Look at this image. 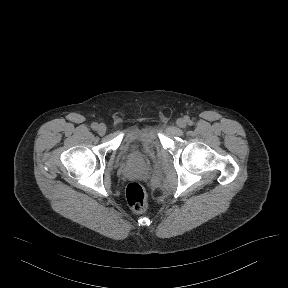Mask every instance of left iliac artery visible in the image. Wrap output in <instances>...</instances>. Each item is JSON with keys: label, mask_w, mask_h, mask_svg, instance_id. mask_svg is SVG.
I'll list each match as a JSON object with an SVG mask.
<instances>
[{"label": "left iliac artery", "mask_w": 288, "mask_h": 288, "mask_svg": "<svg viewBox=\"0 0 288 288\" xmlns=\"http://www.w3.org/2000/svg\"><path fill=\"white\" fill-rule=\"evenodd\" d=\"M186 120L188 122V125H192L193 124L192 120H190L189 118H186Z\"/></svg>", "instance_id": "1"}]
</instances>
